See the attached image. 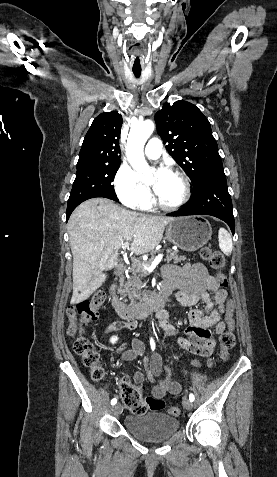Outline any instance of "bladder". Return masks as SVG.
<instances>
[{"label": "bladder", "instance_id": "1", "mask_svg": "<svg viewBox=\"0 0 277 477\" xmlns=\"http://www.w3.org/2000/svg\"><path fill=\"white\" fill-rule=\"evenodd\" d=\"M128 431L145 441H161L175 434L180 426L177 418L152 411L143 414H130L124 418Z\"/></svg>", "mask_w": 277, "mask_h": 477}]
</instances>
